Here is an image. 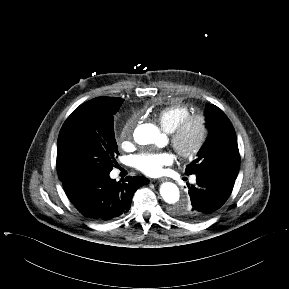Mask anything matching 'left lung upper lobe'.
I'll return each mask as SVG.
<instances>
[{
	"label": "left lung upper lobe",
	"mask_w": 289,
	"mask_h": 289,
	"mask_svg": "<svg viewBox=\"0 0 289 289\" xmlns=\"http://www.w3.org/2000/svg\"><path fill=\"white\" fill-rule=\"evenodd\" d=\"M205 118L209 135L199 150L197 159L186 167V175L217 172L236 178L240 155L230 120L221 109L210 104L205 109ZM183 217L187 218L186 215Z\"/></svg>",
	"instance_id": "left-lung-upper-lobe-1"
}]
</instances>
